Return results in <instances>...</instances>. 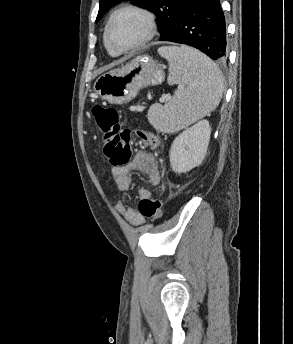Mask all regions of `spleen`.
<instances>
[{
    "label": "spleen",
    "instance_id": "3e777b00",
    "mask_svg": "<svg viewBox=\"0 0 293 344\" xmlns=\"http://www.w3.org/2000/svg\"><path fill=\"white\" fill-rule=\"evenodd\" d=\"M158 53L169 63L168 83L179 84L165 103L148 111L150 124L164 133H175L213 111L224 91V78L206 55L187 46H164Z\"/></svg>",
    "mask_w": 293,
    "mask_h": 344
}]
</instances>
